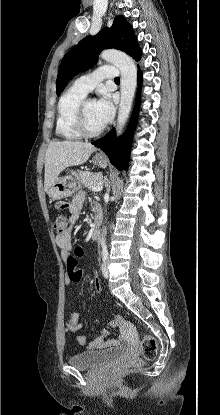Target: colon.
<instances>
[{"label": "colon", "mask_w": 220, "mask_h": 415, "mask_svg": "<svg viewBox=\"0 0 220 415\" xmlns=\"http://www.w3.org/2000/svg\"><path fill=\"white\" fill-rule=\"evenodd\" d=\"M58 208H67V202H58ZM69 224V219L65 214H57L54 217V228L61 234L66 231ZM83 254V249L78 246L76 247L74 254L68 256L67 266L69 271V277L72 282L79 283L83 277V271L78 268V258ZM93 279V278H92ZM93 281V280H92ZM141 352L143 358L134 357L121 363L120 369L133 370L142 366L144 359L152 360L155 358L158 352V344L154 336L146 334L141 339Z\"/></svg>", "instance_id": "colon-1"}]
</instances>
